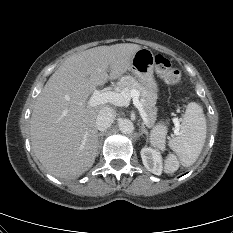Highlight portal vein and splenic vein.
Returning a JSON list of instances; mask_svg holds the SVG:
<instances>
[{"instance_id":"portal-vein-and-splenic-vein-1","label":"portal vein and splenic vein","mask_w":233,"mask_h":233,"mask_svg":"<svg viewBox=\"0 0 233 233\" xmlns=\"http://www.w3.org/2000/svg\"><path fill=\"white\" fill-rule=\"evenodd\" d=\"M139 95V91L135 89H132L130 91L124 89L120 93L114 91L94 90L92 96L88 100V105L94 107L101 104L111 103L115 106H125L128 105L130 99L133 98L134 106L138 109L144 124L148 125L147 115L144 112L143 105L139 101ZM174 124L176 126H179V120L175 119Z\"/></svg>"}]
</instances>
